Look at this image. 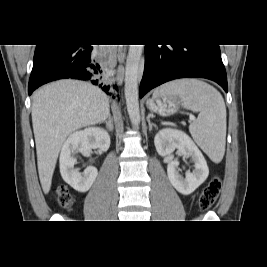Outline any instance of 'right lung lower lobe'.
Returning <instances> with one entry per match:
<instances>
[{"label":"right lung lower lobe","instance_id":"right-lung-lower-lobe-1","mask_svg":"<svg viewBox=\"0 0 267 267\" xmlns=\"http://www.w3.org/2000/svg\"><path fill=\"white\" fill-rule=\"evenodd\" d=\"M90 81L108 95L118 90L107 78L103 56L90 45H37L28 92L58 79Z\"/></svg>","mask_w":267,"mask_h":267}]
</instances>
